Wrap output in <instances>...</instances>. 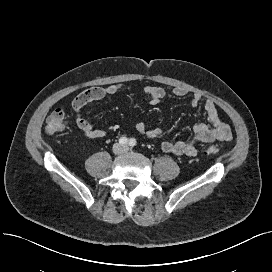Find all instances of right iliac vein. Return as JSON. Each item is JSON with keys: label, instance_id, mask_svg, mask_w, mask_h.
<instances>
[{"label": "right iliac vein", "instance_id": "63e3f726", "mask_svg": "<svg viewBox=\"0 0 272 272\" xmlns=\"http://www.w3.org/2000/svg\"><path fill=\"white\" fill-rule=\"evenodd\" d=\"M114 151H115L116 153H119V152L121 151L120 146H119V145H116L115 148H114Z\"/></svg>", "mask_w": 272, "mask_h": 272}]
</instances>
